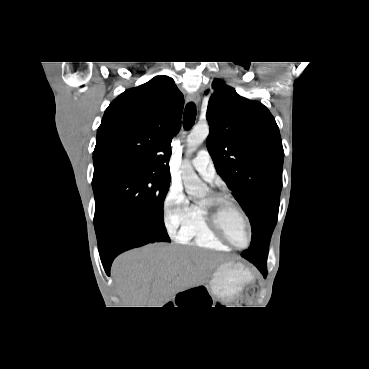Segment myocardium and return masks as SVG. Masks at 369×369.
<instances>
[{"label":"myocardium","mask_w":369,"mask_h":369,"mask_svg":"<svg viewBox=\"0 0 369 369\" xmlns=\"http://www.w3.org/2000/svg\"><path fill=\"white\" fill-rule=\"evenodd\" d=\"M226 206L234 207L244 220L248 232V240L244 246L234 244L227 236L222 226L221 215ZM201 207L204 211L208 227L221 242L236 250H243L250 246L253 232L249 217L244 209L232 197L226 194H211L207 201L201 204Z\"/></svg>","instance_id":"myocardium-1"}]
</instances>
